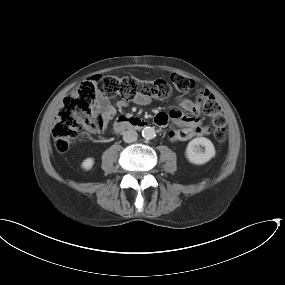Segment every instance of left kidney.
<instances>
[{
    "instance_id": "obj_1",
    "label": "left kidney",
    "mask_w": 285,
    "mask_h": 285,
    "mask_svg": "<svg viewBox=\"0 0 285 285\" xmlns=\"http://www.w3.org/2000/svg\"><path fill=\"white\" fill-rule=\"evenodd\" d=\"M200 146L204 147V151L201 150ZM215 154L216 151L213 143L205 137H197L191 140L185 152L187 159L196 165L207 163L215 157Z\"/></svg>"
}]
</instances>
